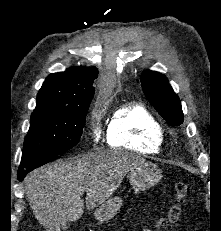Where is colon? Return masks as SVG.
Wrapping results in <instances>:
<instances>
[{
	"mask_svg": "<svg viewBox=\"0 0 221 231\" xmlns=\"http://www.w3.org/2000/svg\"><path fill=\"white\" fill-rule=\"evenodd\" d=\"M190 193V187L187 183L178 182L175 185V201L170 206L167 213L160 219L159 226H166L177 222L182 214L186 198Z\"/></svg>",
	"mask_w": 221,
	"mask_h": 231,
	"instance_id": "obj_1",
	"label": "colon"
}]
</instances>
